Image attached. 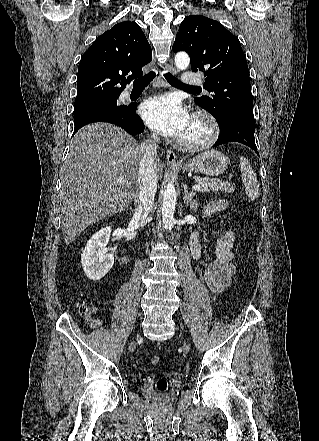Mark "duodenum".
<instances>
[{"label": "duodenum", "mask_w": 319, "mask_h": 441, "mask_svg": "<svg viewBox=\"0 0 319 441\" xmlns=\"http://www.w3.org/2000/svg\"><path fill=\"white\" fill-rule=\"evenodd\" d=\"M123 260H124V262H126V263H127L129 259H128V257H127V256H124Z\"/></svg>", "instance_id": "1"}]
</instances>
